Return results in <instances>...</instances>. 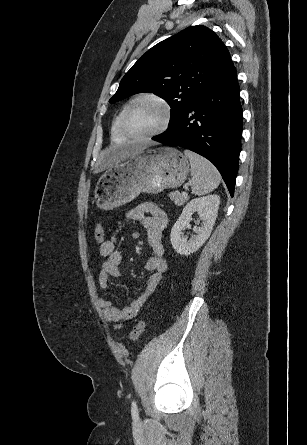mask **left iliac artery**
Wrapping results in <instances>:
<instances>
[{
  "instance_id": "obj_1",
  "label": "left iliac artery",
  "mask_w": 307,
  "mask_h": 445,
  "mask_svg": "<svg viewBox=\"0 0 307 445\" xmlns=\"http://www.w3.org/2000/svg\"><path fill=\"white\" fill-rule=\"evenodd\" d=\"M131 414H132V417H133V419L135 421H137L139 419L138 408H137V405H136L135 401H133L132 404H131Z\"/></svg>"
}]
</instances>
